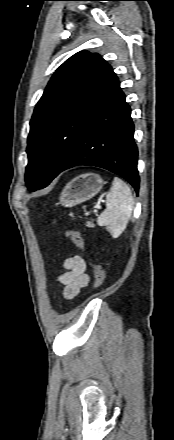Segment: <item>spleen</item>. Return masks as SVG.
Returning a JSON list of instances; mask_svg holds the SVG:
<instances>
[{"label": "spleen", "instance_id": "1", "mask_svg": "<svg viewBox=\"0 0 174 440\" xmlns=\"http://www.w3.org/2000/svg\"><path fill=\"white\" fill-rule=\"evenodd\" d=\"M134 201L129 186L114 177L110 193L106 196V210L97 219L99 226H105L113 238L126 229L132 215Z\"/></svg>", "mask_w": 174, "mask_h": 440}]
</instances>
